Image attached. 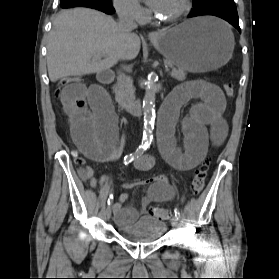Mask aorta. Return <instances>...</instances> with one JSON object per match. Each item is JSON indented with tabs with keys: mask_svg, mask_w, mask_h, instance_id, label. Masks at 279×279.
Instances as JSON below:
<instances>
[{
	"mask_svg": "<svg viewBox=\"0 0 279 279\" xmlns=\"http://www.w3.org/2000/svg\"><path fill=\"white\" fill-rule=\"evenodd\" d=\"M151 77L148 87L143 99V111H144V131L143 142L148 144L152 139V131L154 128L155 120V99H156V84Z\"/></svg>",
	"mask_w": 279,
	"mask_h": 279,
	"instance_id": "762f6f07",
	"label": "aorta"
}]
</instances>
